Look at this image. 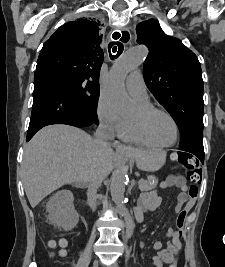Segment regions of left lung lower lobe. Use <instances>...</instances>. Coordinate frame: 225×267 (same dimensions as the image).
Instances as JSON below:
<instances>
[{
	"mask_svg": "<svg viewBox=\"0 0 225 267\" xmlns=\"http://www.w3.org/2000/svg\"><path fill=\"white\" fill-rule=\"evenodd\" d=\"M180 150L186 151L198 157L199 161L204 164V147L202 143H193L180 147ZM190 154V155H191Z\"/></svg>",
	"mask_w": 225,
	"mask_h": 267,
	"instance_id": "1",
	"label": "left lung lower lobe"
}]
</instances>
